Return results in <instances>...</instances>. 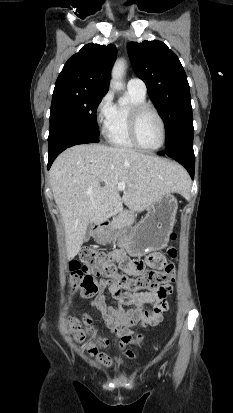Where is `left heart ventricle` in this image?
Returning a JSON list of instances; mask_svg holds the SVG:
<instances>
[{"label": "left heart ventricle", "instance_id": "b2bd125f", "mask_svg": "<svg viewBox=\"0 0 233 413\" xmlns=\"http://www.w3.org/2000/svg\"><path fill=\"white\" fill-rule=\"evenodd\" d=\"M138 137L146 147H156L161 142V125L157 117L151 111L145 112L138 126Z\"/></svg>", "mask_w": 233, "mask_h": 413}]
</instances>
